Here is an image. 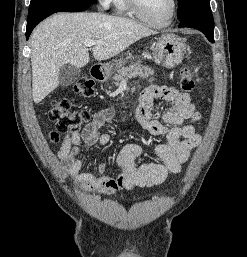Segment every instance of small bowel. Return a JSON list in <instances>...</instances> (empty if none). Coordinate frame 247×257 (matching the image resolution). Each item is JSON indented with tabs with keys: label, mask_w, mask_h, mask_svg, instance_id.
<instances>
[{
	"label": "small bowel",
	"mask_w": 247,
	"mask_h": 257,
	"mask_svg": "<svg viewBox=\"0 0 247 257\" xmlns=\"http://www.w3.org/2000/svg\"><path fill=\"white\" fill-rule=\"evenodd\" d=\"M155 99L169 102L170 107L155 114ZM199 118L200 114L196 112L187 93L173 87L149 86L141 93L136 119L151 134L164 136V141L152 149L160 162L138 165L136 161L144 150L138 144L127 143L121 147L117 157L121 168L117 177L105 175L103 165L98 166V176L81 172V145H106L110 141V135L101 133V128L114 121L115 111L112 108H104L95 113L82 131L67 133L57 156L70 176L86 191L99 190L101 195H111L121 189L152 188L162 184L170 176L179 174L192 149L201 143V136L193 126Z\"/></svg>",
	"instance_id": "c3829d8e"
}]
</instances>
